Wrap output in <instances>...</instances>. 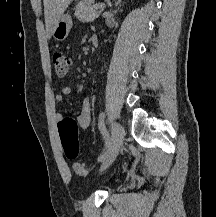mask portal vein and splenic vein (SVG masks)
Here are the masks:
<instances>
[{
	"instance_id": "18ae733b",
	"label": "portal vein and splenic vein",
	"mask_w": 216,
	"mask_h": 217,
	"mask_svg": "<svg viewBox=\"0 0 216 217\" xmlns=\"http://www.w3.org/2000/svg\"><path fill=\"white\" fill-rule=\"evenodd\" d=\"M94 8L97 9V10L102 9V8H104V5H102V4L101 5H96V6H94Z\"/></svg>"
}]
</instances>
